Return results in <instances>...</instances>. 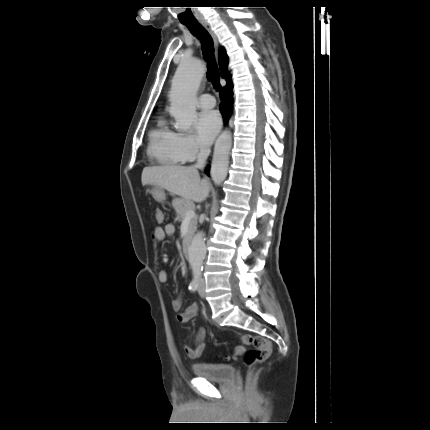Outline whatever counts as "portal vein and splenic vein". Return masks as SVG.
I'll return each instance as SVG.
<instances>
[{
    "instance_id": "portal-vein-and-splenic-vein-1",
    "label": "portal vein and splenic vein",
    "mask_w": 430,
    "mask_h": 430,
    "mask_svg": "<svg viewBox=\"0 0 430 430\" xmlns=\"http://www.w3.org/2000/svg\"><path fill=\"white\" fill-rule=\"evenodd\" d=\"M195 216V210L194 209H189L186 213H185V220H190L192 217Z\"/></svg>"
}]
</instances>
